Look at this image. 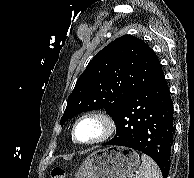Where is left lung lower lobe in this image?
Wrapping results in <instances>:
<instances>
[{"label": "left lung lower lobe", "mask_w": 194, "mask_h": 178, "mask_svg": "<svg viewBox=\"0 0 194 178\" xmlns=\"http://www.w3.org/2000/svg\"><path fill=\"white\" fill-rule=\"evenodd\" d=\"M114 138L102 145L123 146L150 156L167 178L173 142V104L164 73L127 97L114 111Z\"/></svg>", "instance_id": "obj_1"}]
</instances>
